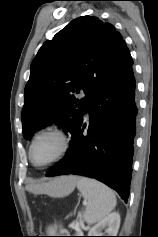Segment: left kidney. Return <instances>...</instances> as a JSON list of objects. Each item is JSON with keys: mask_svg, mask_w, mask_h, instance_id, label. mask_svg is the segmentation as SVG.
I'll use <instances>...</instances> for the list:
<instances>
[{"mask_svg": "<svg viewBox=\"0 0 158 237\" xmlns=\"http://www.w3.org/2000/svg\"><path fill=\"white\" fill-rule=\"evenodd\" d=\"M119 226L120 215L118 212H112L93 226L89 230L88 236H117Z\"/></svg>", "mask_w": 158, "mask_h": 237, "instance_id": "5707ae66", "label": "left kidney"}]
</instances>
